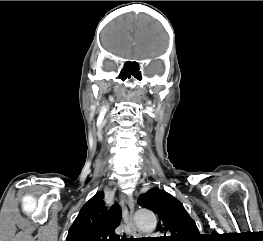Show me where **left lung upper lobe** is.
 Returning <instances> with one entry per match:
<instances>
[{
	"mask_svg": "<svg viewBox=\"0 0 263 241\" xmlns=\"http://www.w3.org/2000/svg\"><path fill=\"white\" fill-rule=\"evenodd\" d=\"M139 204L158 216L156 231L164 236L155 241H202L194 220L188 215L180 201L159 188H152L139 197Z\"/></svg>",
	"mask_w": 263,
	"mask_h": 241,
	"instance_id": "5c2ea615",
	"label": "left lung upper lobe"
}]
</instances>
